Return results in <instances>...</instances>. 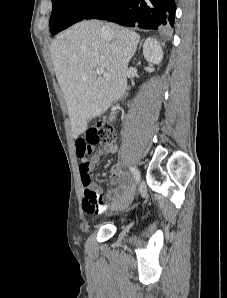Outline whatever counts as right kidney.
<instances>
[{"instance_id": "obj_1", "label": "right kidney", "mask_w": 227, "mask_h": 298, "mask_svg": "<svg viewBox=\"0 0 227 298\" xmlns=\"http://www.w3.org/2000/svg\"><path fill=\"white\" fill-rule=\"evenodd\" d=\"M143 55L148 62L159 64L163 59L160 43L154 38L146 39L143 45Z\"/></svg>"}]
</instances>
